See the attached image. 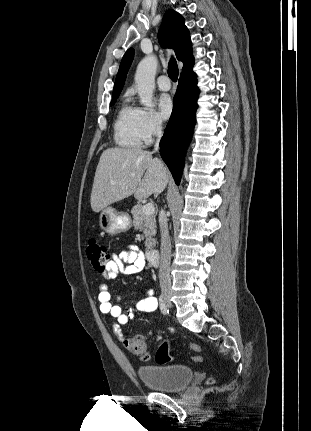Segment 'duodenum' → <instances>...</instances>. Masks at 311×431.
Wrapping results in <instances>:
<instances>
[{
    "instance_id": "duodenum-1",
    "label": "duodenum",
    "mask_w": 311,
    "mask_h": 431,
    "mask_svg": "<svg viewBox=\"0 0 311 431\" xmlns=\"http://www.w3.org/2000/svg\"><path fill=\"white\" fill-rule=\"evenodd\" d=\"M148 261L153 265L157 266L159 262V252L156 249H149L146 253Z\"/></svg>"
}]
</instances>
